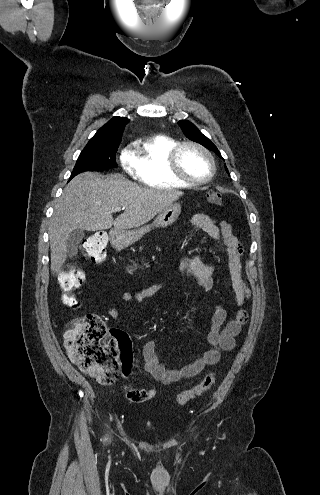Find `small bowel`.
Listing matches in <instances>:
<instances>
[{"instance_id": "obj_1", "label": "small bowel", "mask_w": 320, "mask_h": 495, "mask_svg": "<svg viewBox=\"0 0 320 495\" xmlns=\"http://www.w3.org/2000/svg\"><path fill=\"white\" fill-rule=\"evenodd\" d=\"M190 224L202 229L216 243L224 245L227 260L226 266L229 271L231 285L235 294L238 309L228 319L226 309L217 304L210 319L209 330L206 335L208 344L207 350L193 362L175 370L167 369L159 362L156 352V341L148 340L142 349L145 371L148 372L154 380L164 385H168L182 379L192 378L198 375L206 366L216 364L221 357L222 351H230L235 347V338L240 334L242 326L247 321V314L241 307L250 298V290L242 274V254L243 248L238 238L232 233L230 225L225 221H218L215 217L207 214L198 213L191 217ZM181 272L192 278L203 289L210 291L213 288V273L215 267L212 264H206L202 261L199 254L190 258L182 259L180 263ZM160 285H152L142 290L122 294V300L131 305H139L144 299L152 296ZM108 316L118 323H122L117 308H110ZM131 363L128 366H122L125 376L129 375ZM124 390H132L133 386L123 385ZM149 398L155 395L154 389H149Z\"/></svg>"}]
</instances>
